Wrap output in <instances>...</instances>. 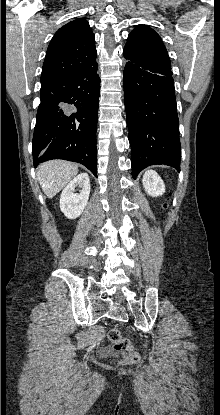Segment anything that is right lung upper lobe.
Returning a JSON list of instances; mask_svg holds the SVG:
<instances>
[{"label": "right lung upper lobe", "mask_w": 220, "mask_h": 415, "mask_svg": "<svg viewBox=\"0 0 220 415\" xmlns=\"http://www.w3.org/2000/svg\"><path fill=\"white\" fill-rule=\"evenodd\" d=\"M97 64L95 36L89 23L78 18L53 36L44 60L41 87Z\"/></svg>", "instance_id": "1"}]
</instances>
